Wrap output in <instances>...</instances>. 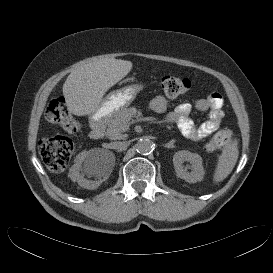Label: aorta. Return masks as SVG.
Returning a JSON list of instances; mask_svg holds the SVG:
<instances>
[{
    "mask_svg": "<svg viewBox=\"0 0 273 273\" xmlns=\"http://www.w3.org/2000/svg\"><path fill=\"white\" fill-rule=\"evenodd\" d=\"M155 149V144L149 139L140 140L136 145L139 154L148 155Z\"/></svg>",
    "mask_w": 273,
    "mask_h": 273,
    "instance_id": "aorta-1",
    "label": "aorta"
}]
</instances>
